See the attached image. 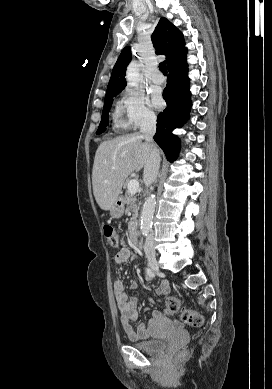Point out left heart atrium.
<instances>
[{
	"mask_svg": "<svg viewBox=\"0 0 272 389\" xmlns=\"http://www.w3.org/2000/svg\"><path fill=\"white\" fill-rule=\"evenodd\" d=\"M164 104L163 99L160 97L159 94H154L152 98V105L156 108H161Z\"/></svg>",
	"mask_w": 272,
	"mask_h": 389,
	"instance_id": "39dd6f15",
	"label": "left heart atrium"
}]
</instances>
